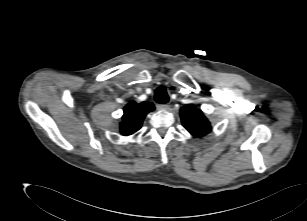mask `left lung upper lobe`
Here are the masks:
<instances>
[{"label":"left lung upper lobe","mask_w":307,"mask_h":221,"mask_svg":"<svg viewBox=\"0 0 307 221\" xmlns=\"http://www.w3.org/2000/svg\"><path fill=\"white\" fill-rule=\"evenodd\" d=\"M183 126L195 137H203L211 131L210 122L203 112L188 104L180 109Z\"/></svg>","instance_id":"1"}]
</instances>
